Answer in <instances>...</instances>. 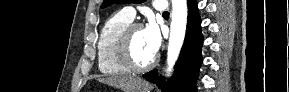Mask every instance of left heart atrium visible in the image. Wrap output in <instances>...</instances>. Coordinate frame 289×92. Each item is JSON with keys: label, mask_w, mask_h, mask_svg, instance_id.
I'll return each mask as SVG.
<instances>
[{"label": "left heart atrium", "mask_w": 289, "mask_h": 92, "mask_svg": "<svg viewBox=\"0 0 289 92\" xmlns=\"http://www.w3.org/2000/svg\"><path fill=\"white\" fill-rule=\"evenodd\" d=\"M144 34L150 51L155 55L161 46V35L156 23L150 21L144 28Z\"/></svg>", "instance_id": "obj_1"}]
</instances>
